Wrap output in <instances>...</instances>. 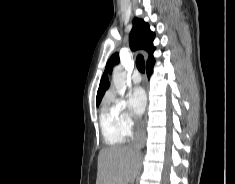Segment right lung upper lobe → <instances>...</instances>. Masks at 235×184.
<instances>
[{
    "label": "right lung upper lobe",
    "instance_id": "right-lung-upper-lobe-1",
    "mask_svg": "<svg viewBox=\"0 0 235 184\" xmlns=\"http://www.w3.org/2000/svg\"><path fill=\"white\" fill-rule=\"evenodd\" d=\"M155 34L150 31L149 25L142 21L139 18H134L133 20V28L130 33V47L132 50L135 49H143L146 51L149 55L147 60V65H150L155 62V59L153 57V52L155 48L152 45V41L154 40ZM119 63V56L118 53H115L111 56L109 59L106 70L102 76L100 86L97 92V98L96 102L97 104H100L101 99L105 93V91L109 88L110 83L108 82L107 73L111 68Z\"/></svg>",
    "mask_w": 235,
    "mask_h": 184
}]
</instances>
